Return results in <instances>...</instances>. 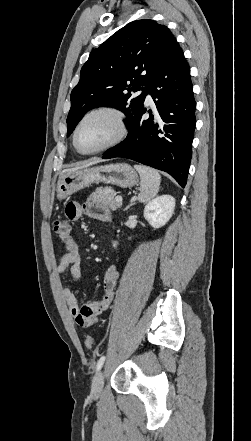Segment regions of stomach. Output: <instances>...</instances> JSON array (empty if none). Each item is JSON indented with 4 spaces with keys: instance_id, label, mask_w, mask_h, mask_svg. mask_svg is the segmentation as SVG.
<instances>
[{
    "instance_id": "1",
    "label": "stomach",
    "mask_w": 251,
    "mask_h": 441,
    "mask_svg": "<svg viewBox=\"0 0 251 441\" xmlns=\"http://www.w3.org/2000/svg\"><path fill=\"white\" fill-rule=\"evenodd\" d=\"M137 172L126 163L109 164L83 168L62 173L57 183V198L65 199L69 195L93 184L106 183L122 188L137 185Z\"/></svg>"
}]
</instances>
